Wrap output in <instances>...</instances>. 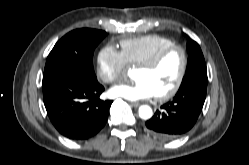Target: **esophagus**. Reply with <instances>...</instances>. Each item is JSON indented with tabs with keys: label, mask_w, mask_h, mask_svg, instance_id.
Here are the masks:
<instances>
[{
	"label": "esophagus",
	"mask_w": 249,
	"mask_h": 165,
	"mask_svg": "<svg viewBox=\"0 0 249 165\" xmlns=\"http://www.w3.org/2000/svg\"><path fill=\"white\" fill-rule=\"evenodd\" d=\"M130 105L135 108L140 106L138 102H131Z\"/></svg>",
	"instance_id": "obj_1"
}]
</instances>
